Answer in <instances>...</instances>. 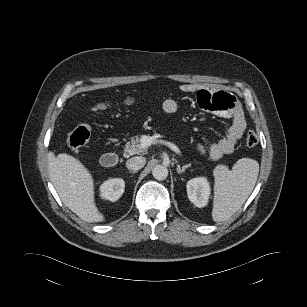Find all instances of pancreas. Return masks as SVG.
<instances>
[{
  "instance_id": "cf45deb5",
  "label": "pancreas",
  "mask_w": 307,
  "mask_h": 307,
  "mask_svg": "<svg viewBox=\"0 0 307 307\" xmlns=\"http://www.w3.org/2000/svg\"><path fill=\"white\" fill-rule=\"evenodd\" d=\"M142 136H133L130 138V142H127L124 148V157H129L131 155L140 154L145 151V148L141 146Z\"/></svg>"
}]
</instances>
